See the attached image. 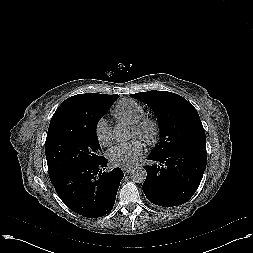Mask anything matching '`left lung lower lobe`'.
Masks as SVG:
<instances>
[{
    "mask_svg": "<svg viewBox=\"0 0 253 253\" xmlns=\"http://www.w3.org/2000/svg\"><path fill=\"white\" fill-rule=\"evenodd\" d=\"M146 165L143 192L158 206L172 207L186 203L196 192L207 164L206 149L180 146L166 153H151Z\"/></svg>",
    "mask_w": 253,
    "mask_h": 253,
    "instance_id": "1",
    "label": "left lung lower lobe"
}]
</instances>
